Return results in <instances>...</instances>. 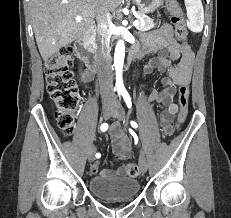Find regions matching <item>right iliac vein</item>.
<instances>
[{
	"instance_id": "obj_1",
	"label": "right iliac vein",
	"mask_w": 231,
	"mask_h": 218,
	"mask_svg": "<svg viewBox=\"0 0 231 218\" xmlns=\"http://www.w3.org/2000/svg\"><path fill=\"white\" fill-rule=\"evenodd\" d=\"M114 107L109 104H105L102 108V116L105 120L109 119L111 115L113 114ZM95 152L96 148L95 146H91L88 151V160L91 162L95 159Z\"/></svg>"
}]
</instances>
